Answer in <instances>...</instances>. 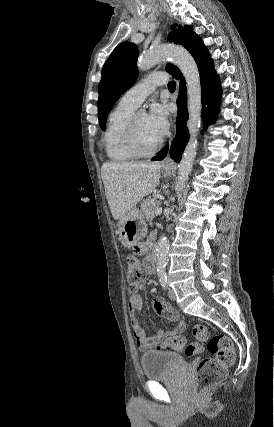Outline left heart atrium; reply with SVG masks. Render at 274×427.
I'll return each mask as SVG.
<instances>
[{"label": "left heart atrium", "instance_id": "39dd6f15", "mask_svg": "<svg viewBox=\"0 0 274 427\" xmlns=\"http://www.w3.org/2000/svg\"><path fill=\"white\" fill-rule=\"evenodd\" d=\"M147 122L150 131L159 138H163L169 127V114L167 108L162 104L151 106L147 115Z\"/></svg>", "mask_w": 274, "mask_h": 427}]
</instances>
